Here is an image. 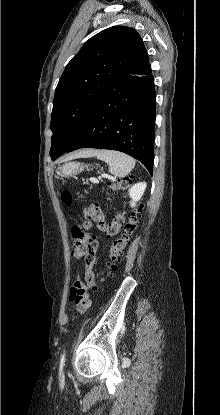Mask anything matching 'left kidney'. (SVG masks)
I'll return each instance as SVG.
<instances>
[{
  "label": "left kidney",
  "mask_w": 220,
  "mask_h": 415,
  "mask_svg": "<svg viewBox=\"0 0 220 415\" xmlns=\"http://www.w3.org/2000/svg\"><path fill=\"white\" fill-rule=\"evenodd\" d=\"M145 189H146L145 182L137 183L129 189V196L132 199L130 202L131 207H134L136 202L141 199V197L143 196L145 192Z\"/></svg>",
  "instance_id": "obj_1"
}]
</instances>
